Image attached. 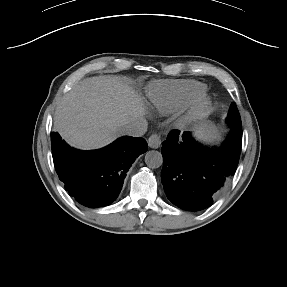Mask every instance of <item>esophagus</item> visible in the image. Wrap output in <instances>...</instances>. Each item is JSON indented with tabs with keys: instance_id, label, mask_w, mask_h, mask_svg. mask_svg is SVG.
<instances>
[{
	"instance_id": "34e87169",
	"label": "esophagus",
	"mask_w": 287,
	"mask_h": 287,
	"mask_svg": "<svg viewBox=\"0 0 287 287\" xmlns=\"http://www.w3.org/2000/svg\"><path fill=\"white\" fill-rule=\"evenodd\" d=\"M148 145L150 148L157 149L161 145V137L158 134H152L148 139Z\"/></svg>"
}]
</instances>
